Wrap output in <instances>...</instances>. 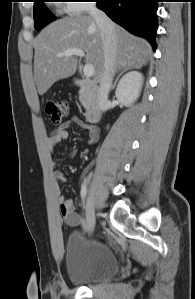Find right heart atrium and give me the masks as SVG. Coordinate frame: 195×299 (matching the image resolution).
<instances>
[{
    "label": "right heart atrium",
    "mask_w": 195,
    "mask_h": 299,
    "mask_svg": "<svg viewBox=\"0 0 195 299\" xmlns=\"http://www.w3.org/2000/svg\"><path fill=\"white\" fill-rule=\"evenodd\" d=\"M64 5H65L64 8L65 11L69 13L81 14L89 10L90 1L89 0H69Z\"/></svg>",
    "instance_id": "right-heart-atrium-1"
}]
</instances>
